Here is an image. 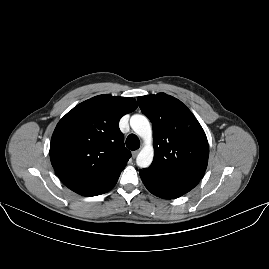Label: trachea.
<instances>
[{
    "mask_svg": "<svg viewBox=\"0 0 269 269\" xmlns=\"http://www.w3.org/2000/svg\"><path fill=\"white\" fill-rule=\"evenodd\" d=\"M126 146L130 150H137L140 147V141L135 134H130L126 139Z\"/></svg>",
    "mask_w": 269,
    "mask_h": 269,
    "instance_id": "obj_1",
    "label": "trachea"
}]
</instances>
